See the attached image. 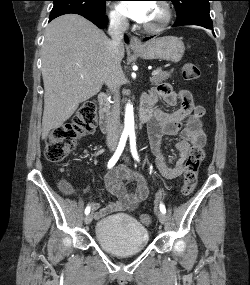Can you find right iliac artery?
Segmentation results:
<instances>
[{
	"label": "right iliac artery",
	"mask_w": 250,
	"mask_h": 285,
	"mask_svg": "<svg viewBox=\"0 0 250 285\" xmlns=\"http://www.w3.org/2000/svg\"><path fill=\"white\" fill-rule=\"evenodd\" d=\"M127 137H128V134H122L120 141H119V144H118V147H117L114 155L111 157V159L108 162V168L109 169L112 168L116 164L119 157L121 156V154L124 150V147L126 145ZM89 212H90V206H87L85 209V214L87 215V214H89Z\"/></svg>",
	"instance_id": "right-iliac-artery-1"
}]
</instances>
